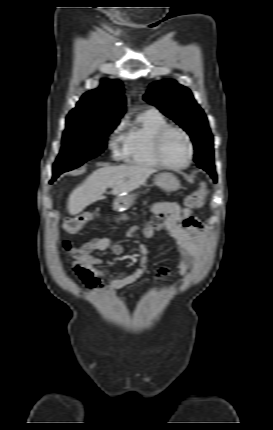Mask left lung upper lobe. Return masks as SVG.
Returning <instances> with one entry per match:
<instances>
[{
  "mask_svg": "<svg viewBox=\"0 0 273 430\" xmlns=\"http://www.w3.org/2000/svg\"><path fill=\"white\" fill-rule=\"evenodd\" d=\"M144 99L179 124L192 138L199 164L214 159L213 137L207 118L191 91L174 80H162L149 86Z\"/></svg>",
  "mask_w": 273,
  "mask_h": 430,
  "instance_id": "obj_1",
  "label": "left lung upper lobe"
}]
</instances>
